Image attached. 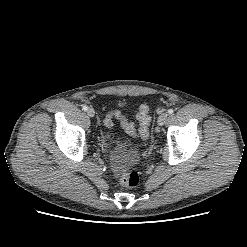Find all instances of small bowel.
Listing matches in <instances>:
<instances>
[{"label":"small bowel","mask_w":247,"mask_h":247,"mask_svg":"<svg viewBox=\"0 0 247 247\" xmlns=\"http://www.w3.org/2000/svg\"><path fill=\"white\" fill-rule=\"evenodd\" d=\"M124 158L120 155H116L113 158V171L116 175H119L123 170Z\"/></svg>","instance_id":"c3829d8e"}]
</instances>
